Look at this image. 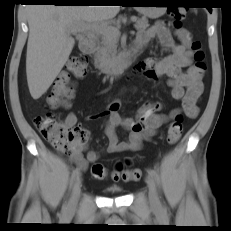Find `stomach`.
<instances>
[{
  "label": "stomach",
  "instance_id": "obj_1",
  "mask_svg": "<svg viewBox=\"0 0 231 231\" xmlns=\"http://www.w3.org/2000/svg\"><path fill=\"white\" fill-rule=\"evenodd\" d=\"M147 5L144 7H136V10L147 16L150 18H157L159 16H161L165 11H166V7H154L153 5H149V4H158L160 3V1H146Z\"/></svg>",
  "mask_w": 231,
  "mask_h": 231
}]
</instances>
